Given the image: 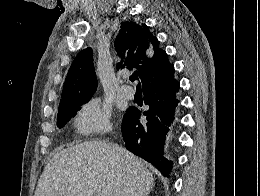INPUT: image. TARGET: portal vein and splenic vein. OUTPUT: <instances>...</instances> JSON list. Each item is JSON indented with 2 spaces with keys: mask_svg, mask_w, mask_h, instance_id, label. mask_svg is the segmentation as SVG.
I'll use <instances>...</instances> for the list:
<instances>
[{
  "mask_svg": "<svg viewBox=\"0 0 260 196\" xmlns=\"http://www.w3.org/2000/svg\"><path fill=\"white\" fill-rule=\"evenodd\" d=\"M93 196H102V194H99V192H94Z\"/></svg>",
  "mask_w": 260,
  "mask_h": 196,
  "instance_id": "obj_1",
  "label": "portal vein and splenic vein"
}]
</instances>
